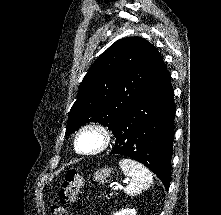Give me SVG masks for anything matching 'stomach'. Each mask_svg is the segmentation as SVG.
<instances>
[{"instance_id": "stomach-1", "label": "stomach", "mask_w": 221, "mask_h": 215, "mask_svg": "<svg viewBox=\"0 0 221 215\" xmlns=\"http://www.w3.org/2000/svg\"><path fill=\"white\" fill-rule=\"evenodd\" d=\"M113 172L112 168H101L98 169L95 173H94V180L97 182H104L106 180V178L110 177L111 174Z\"/></svg>"}]
</instances>
